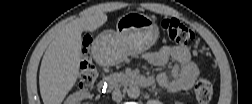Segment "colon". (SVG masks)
<instances>
[{
  "label": "colon",
  "instance_id": "5ec220e1",
  "mask_svg": "<svg viewBox=\"0 0 252 104\" xmlns=\"http://www.w3.org/2000/svg\"><path fill=\"white\" fill-rule=\"evenodd\" d=\"M161 25L166 32L168 40L171 42L187 44L197 38V34L178 19H165ZM90 43L91 37L89 34H86L84 38L83 61L78 77V86L83 90L89 89L98 76L97 69L89 56ZM194 93L199 102L207 103L213 96V86L209 80L200 78L195 83Z\"/></svg>",
  "mask_w": 252,
  "mask_h": 104
}]
</instances>
